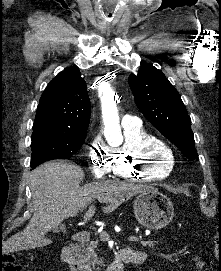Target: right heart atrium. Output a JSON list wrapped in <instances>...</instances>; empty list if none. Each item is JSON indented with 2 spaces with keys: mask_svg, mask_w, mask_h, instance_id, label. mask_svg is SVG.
<instances>
[{
  "mask_svg": "<svg viewBox=\"0 0 221 271\" xmlns=\"http://www.w3.org/2000/svg\"><path fill=\"white\" fill-rule=\"evenodd\" d=\"M90 155L94 157H88L87 165L90 170H95L96 177H105L106 173H114V171H110V166H112V161H116L118 154H113L112 151H104V146H93Z\"/></svg>",
  "mask_w": 221,
  "mask_h": 271,
  "instance_id": "d8ad5b80",
  "label": "right heart atrium"
}]
</instances>
